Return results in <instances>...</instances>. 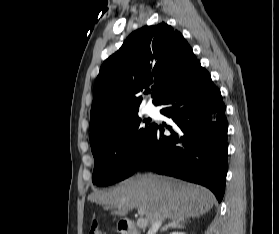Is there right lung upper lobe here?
<instances>
[{
    "label": "right lung upper lobe",
    "mask_w": 279,
    "mask_h": 234,
    "mask_svg": "<svg viewBox=\"0 0 279 234\" xmlns=\"http://www.w3.org/2000/svg\"><path fill=\"white\" fill-rule=\"evenodd\" d=\"M199 63L182 34L160 23L134 31L101 66L90 114V144L109 135L138 113L152 86L153 103L162 101Z\"/></svg>",
    "instance_id": "1"
}]
</instances>
